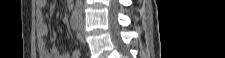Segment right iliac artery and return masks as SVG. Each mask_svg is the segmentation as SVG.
Instances as JSON below:
<instances>
[{
  "mask_svg": "<svg viewBox=\"0 0 225 58\" xmlns=\"http://www.w3.org/2000/svg\"><path fill=\"white\" fill-rule=\"evenodd\" d=\"M70 24H71V28L73 29V31H77L78 30V18H77V16H73L71 18Z\"/></svg>",
  "mask_w": 225,
  "mask_h": 58,
  "instance_id": "1",
  "label": "right iliac artery"
}]
</instances>
